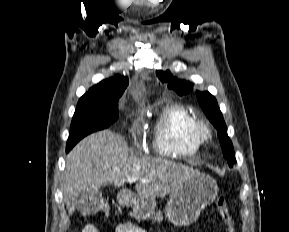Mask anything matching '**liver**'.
Instances as JSON below:
<instances>
[{
	"label": "liver",
	"mask_w": 289,
	"mask_h": 232,
	"mask_svg": "<svg viewBox=\"0 0 289 232\" xmlns=\"http://www.w3.org/2000/svg\"><path fill=\"white\" fill-rule=\"evenodd\" d=\"M195 170L161 158L129 156L125 139L103 130L82 139L67 155L64 172V196L69 215L85 191L101 186L122 187L128 177H137L138 195L150 198L173 193ZM148 180L143 183L140 180Z\"/></svg>",
	"instance_id": "obj_1"
}]
</instances>
